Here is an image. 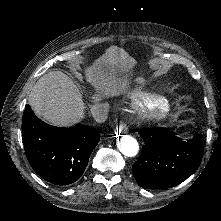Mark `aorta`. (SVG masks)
I'll use <instances>...</instances> for the list:
<instances>
[{
  "mask_svg": "<svg viewBox=\"0 0 221 221\" xmlns=\"http://www.w3.org/2000/svg\"><path fill=\"white\" fill-rule=\"evenodd\" d=\"M119 151L128 157L136 156L139 151V144L137 140L129 135H123L118 140Z\"/></svg>",
  "mask_w": 221,
  "mask_h": 221,
  "instance_id": "aorta-1",
  "label": "aorta"
}]
</instances>
